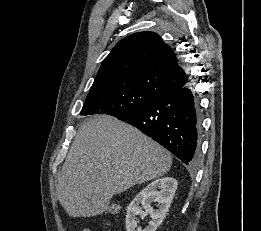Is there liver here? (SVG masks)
Masks as SVG:
<instances>
[{"instance_id":"liver-1","label":"liver","mask_w":261,"mask_h":231,"mask_svg":"<svg viewBox=\"0 0 261 231\" xmlns=\"http://www.w3.org/2000/svg\"><path fill=\"white\" fill-rule=\"evenodd\" d=\"M170 153L133 126L109 115L80 126L63 164L57 197L69 216L105 212L111 198L166 174Z\"/></svg>"}]
</instances>
